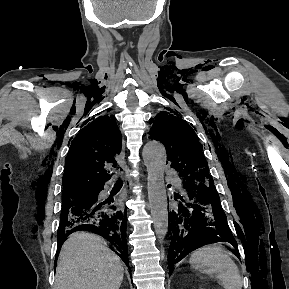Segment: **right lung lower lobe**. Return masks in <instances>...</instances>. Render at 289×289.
I'll return each mask as SVG.
<instances>
[{
  "mask_svg": "<svg viewBox=\"0 0 289 289\" xmlns=\"http://www.w3.org/2000/svg\"><path fill=\"white\" fill-rule=\"evenodd\" d=\"M101 185L96 190L91 191L93 197L78 208H74L69 214L60 217V225L57 231L58 252L64 240L77 231H91L107 239L113 246V251L129 267L128 248L126 242V218L127 212L117 210L111 201L102 202L98 195L103 190ZM113 201V200H112Z\"/></svg>",
  "mask_w": 289,
  "mask_h": 289,
  "instance_id": "1",
  "label": "right lung lower lobe"
}]
</instances>
